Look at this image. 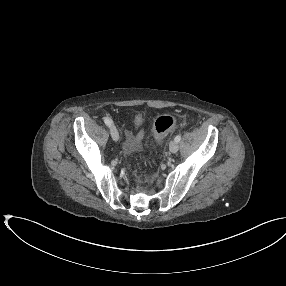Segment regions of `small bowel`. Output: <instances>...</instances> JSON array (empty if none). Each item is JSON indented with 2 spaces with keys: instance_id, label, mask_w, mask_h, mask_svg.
Segmentation results:
<instances>
[{
  "instance_id": "c3829d8e",
  "label": "small bowel",
  "mask_w": 286,
  "mask_h": 286,
  "mask_svg": "<svg viewBox=\"0 0 286 286\" xmlns=\"http://www.w3.org/2000/svg\"><path fill=\"white\" fill-rule=\"evenodd\" d=\"M126 135H127V138L132 137V134L130 132H127Z\"/></svg>"
}]
</instances>
